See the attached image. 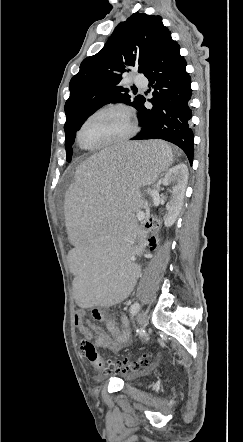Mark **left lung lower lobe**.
Returning <instances> with one entry per match:
<instances>
[{"mask_svg":"<svg viewBox=\"0 0 243 442\" xmlns=\"http://www.w3.org/2000/svg\"><path fill=\"white\" fill-rule=\"evenodd\" d=\"M180 46L169 34L144 75L153 98L151 109L143 100L138 112L141 131L131 140L162 139L180 147L193 162L194 136L190 126L191 78Z\"/></svg>","mask_w":243,"mask_h":442,"instance_id":"left-lung-lower-lobe-1","label":"left lung lower lobe"}]
</instances>
